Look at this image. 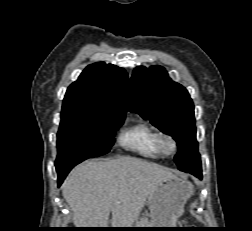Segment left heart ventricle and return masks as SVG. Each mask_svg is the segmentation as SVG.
Here are the masks:
<instances>
[{"mask_svg": "<svg viewBox=\"0 0 252 231\" xmlns=\"http://www.w3.org/2000/svg\"><path fill=\"white\" fill-rule=\"evenodd\" d=\"M165 147H166V149H170V147H171L170 143L169 142H165Z\"/></svg>", "mask_w": 252, "mask_h": 231, "instance_id": "b2bd125f", "label": "left heart ventricle"}]
</instances>
